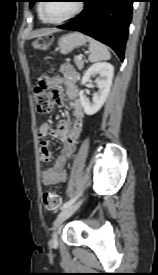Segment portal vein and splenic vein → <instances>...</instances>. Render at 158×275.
Masks as SVG:
<instances>
[{
    "mask_svg": "<svg viewBox=\"0 0 158 275\" xmlns=\"http://www.w3.org/2000/svg\"><path fill=\"white\" fill-rule=\"evenodd\" d=\"M77 59L82 60V55H78Z\"/></svg>",
    "mask_w": 158,
    "mask_h": 275,
    "instance_id": "1",
    "label": "portal vein and splenic vein"
}]
</instances>
